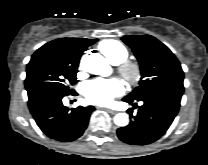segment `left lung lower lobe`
I'll use <instances>...</instances> for the list:
<instances>
[{
    "label": "left lung lower lobe",
    "mask_w": 208,
    "mask_h": 165,
    "mask_svg": "<svg viewBox=\"0 0 208 165\" xmlns=\"http://www.w3.org/2000/svg\"><path fill=\"white\" fill-rule=\"evenodd\" d=\"M184 87L167 86L155 89L137 100L123 99L133 103L141 101L136 115L128 110L132 118L129 125L117 130L120 140L131 145H147L163 136L180 108ZM136 105V103H134Z\"/></svg>",
    "instance_id": "left-lung-lower-lobe-1"
}]
</instances>
